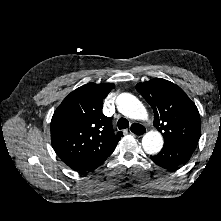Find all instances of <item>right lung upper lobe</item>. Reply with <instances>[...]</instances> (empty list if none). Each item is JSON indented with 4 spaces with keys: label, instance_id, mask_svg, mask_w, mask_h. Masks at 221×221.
<instances>
[{
    "label": "right lung upper lobe",
    "instance_id": "obj_1",
    "mask_svg": "<svg viewBox=\"0 0 221 221\" xmlns=\"http://www.w3.org/2000/svg\"><path fill=\"white\" fill-rule=\"evenodd\" d=\"M113 83H88L72 91L59 105L51 120V142L60 159L69 167L108 157L121 132L114 134L112 122L102 113L104 97Z\"/></svg>",
    "mask_w": 221,
    "mask_h": 221
}]
</instances>
